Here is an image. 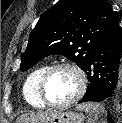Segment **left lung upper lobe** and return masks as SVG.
<instances>
[{"instance_id": "obj_1", "label": "left lung upper lobe", "mask_w": 122, "mask_h": 123, "mask_svg": "<svg viewBox=\"0 0 122 123\" xmlns=\"http://www.w3.org/2000/svg\"><path fill=\"white\" fill-rule=\"evenodd\" d=\"M116 19L106 0H59L30 33L21 70L52 54L63 55L84 70L94 48Z\"/></svg>"}]
</instances>
